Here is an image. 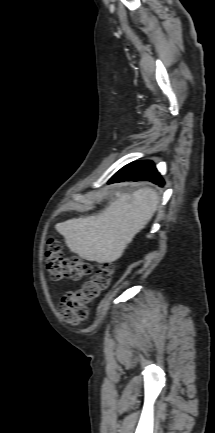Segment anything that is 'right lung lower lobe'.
I'll return each mask as SVG.
<instances>
[{
  "mask_svg": "<svg viewBox=\"0 0 215 433\" xmlns=\"http://www.w3.org/2000/svg\"><path fill=\"white\" fill-rule=\"evenodd\" d=\"M142 180L164 185L163 179L151 161H137L126 165L111 178L109 183Z\"/></svg>",
  "mask_w": 215,
  "mask_h": 433,
  "instance_id": "right-lung-lower-lobe-1",
  "label": "right lung lower lobe"
}]
</instances>
